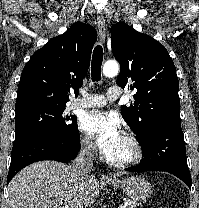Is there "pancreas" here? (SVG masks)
I'll return each mask as SVG.
<instances>
[{"label": "pancreas", "mask_w": 199, "mask_h": 208, "mask_svg": "<svg viewBox=\"0 0 199 208\" xmlns=\"http://www.w3.org/2000/svg\"><path fill=\"white\" fill-rule=\"evenodd\" d=\"M127 203L128 205L126 206V208H136L137 206H139V203L133 200H128Z\"/></svg>", "instance_id": "pancreas-1"}]
</instances>
